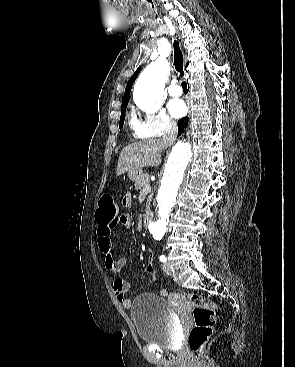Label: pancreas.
<instances>
[{
    "label": "pancreas",
    "mask_w": 295,
    "mask_h": 367,
    "mask_svg": "<svg viewBox=\"0 0 295 367\" xmlns=\"http://www.w3.org/2000/svg\"><path fill=\"white\" fill-rule=\"evenodd\" d=\"M149 184V177L148 175H142L141 179L137 182H135V188L137 190H140L141 193H145L144 189H145V185ZM150 201H151V196L149 197L148 203L146 205V210H148L150 208Z\"/></svg>",
    "instance_id": "pancreas-1"
}]
</instances>
